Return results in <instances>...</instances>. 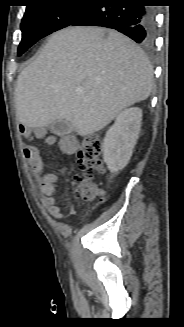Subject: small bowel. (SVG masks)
<instances>
[{"label":"small bowel","instance_id":"c3829d8e","mask_svg":"<svg viewBox=\"0 0 184 327\" xmlns=\"http://www.w3.org/2000/svg\"><path fill=\"white\" fill-rule=\"evenodd\" d=\"M20 131L25 136L31 135V129L24 125L20 126ZM34 134L39 138L46 139L49 143L54 142L53 138L47 136V131L44 128L36 130ZM58 146L62 153L70 155L75 152L77 141L74 137L66 136L59 140ZM24 157L32 172L39 176L41 192L44 196V202L48 212L52 217L61 219L63 217V203L55 198L59 186L58 178L53 173L44 170L43 158L39 148L35 146L26 147L24 149Z\"/></svg>","mask_w":184,"mask_h":327}]
</instances>
